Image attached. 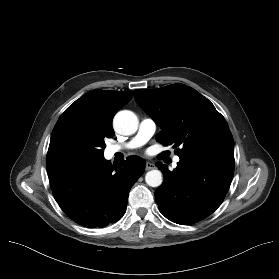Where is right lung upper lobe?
I'll return each mask as SVG.
<instances>
[{"instance_id": "right-lung-upper-lobe-1", "label": "right lung upper lobe", "mask_w": 279, "mask_h": 279, "mask_svg": "<svg viewBox=\"0 0 279 279\" xmlns=\"http://www.w3.org/2000/svg\"><path fill=\"white\" fill-rule=\"evenodd\" d=\"M132 96V91L95 90L88 92L62 113L53 131L68 124H79L94 134L111 138L114 135L111 121Z\"/></svg>"}]
</instances>
